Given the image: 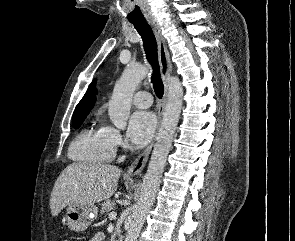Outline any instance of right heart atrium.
<instances>
[{
	"label": "right heart atrium",
	"mask_w": 295,
	"mask_h": 241,
	"mask_svg": "<svg viewBox=\"0 0 295 241\" xmlns=\"http://www.w3.org/2000/svg\"><path fill=\"white\" fill-rule=\"evenodd\" d=\"M107 127L109 129L111 142H112L114 148H118V147L122 146L123 140H122L121 133L113 127H110V126H107Z\"/></svg>",
	"instance_id": "d8ad5b80"
}]
</instances>
